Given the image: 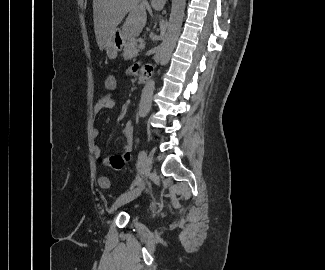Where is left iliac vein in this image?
Segmentation results:
<instances>
[{"instance_id":"left-iliac-vein-1","label":"left iliac vein","mask_w":325,"mask_h":270,"mask_svg":"<svg viewBox=\"0 0 325 270\" xmlns=\"http://www.w3.org/2000/svg\"><path fill=\"white\" fill-rule=\"evenodd\" d=\"M152 164H153V157L152 154H149L148 156H146L145 160H144V168L146 171V178L145 181L140 184L136 189L123 194L122 196H120L115 203L113 204V206L111 207L110 212L115 211L117 208H119L120 206L134 200L135 198H137L141 192L143 191V189L145 188V183L147 181V177L150 174V171L152 169Z\"/></svg>"}]
</instances>
